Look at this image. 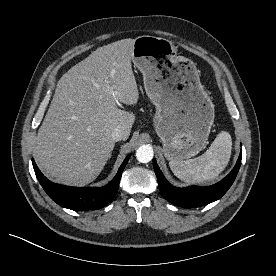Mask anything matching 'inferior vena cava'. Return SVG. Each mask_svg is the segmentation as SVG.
<instances>
[{"mask_svg":"<svg viewBox=\"0 0 276 276\" xmlns=\"http://www.w3.org/2000/svg\"><path fill=\"white\" fill-rule=\"evenodd\" d=\"M112 139L114 141H121L126 139V133L121 126H117L112 132Z\"/></svg>","mask_w":276,"mask_h":276,"instance_id":"inferior-vena-cava-1","label":"inferior vena cava"}]
</instances>
